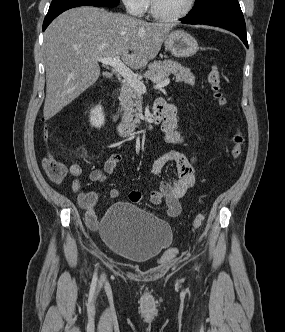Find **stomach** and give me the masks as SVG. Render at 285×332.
<instances>
[{
    "label": "stomach",
    "mask_w": 285,
    "mask_h": 332,
    "mask_svg": "<svg viewBox=\"0 0 285 332\" xmlns=\"http://www.w3.org/2000/svg\"><path fill=\"white\" fill-rule=\"evenodd\" d=\"M164 44L166 50L178 58L191 57L198 51L196 39L181 30L171 32L166 37Z\"/></svg>",
    "instance_id": "0dacf381"
}]
</instances>
